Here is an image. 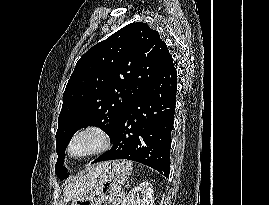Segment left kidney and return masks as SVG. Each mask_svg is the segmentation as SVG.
<instances>
[{
  "label": "left kidney",
  "instance_id": "1",
  "mask_svg": "<svg viewBox=\"0 0 269 205\" xmlns=\"http://www.w3.org/2000/svg\"><path fill=\"white\" fill-rule=\"evenodd\" d=\"M141 193V195H139ZM153 187L149 182H142L130 190L123 199L122 205H153Z\"/></svg>",
  "mask_w": 269,
  "mask_h": 205
}]
</instances>
